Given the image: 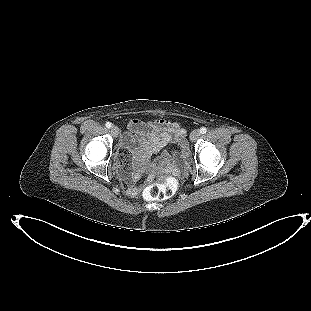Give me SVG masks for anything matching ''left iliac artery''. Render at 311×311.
I'll return each instance as SVG.
<instances>
[{"mask_svg": "<svg viewBox=\"0 0 311 311\" xmlns=\"http://www.w3.org/2000/svg\"><path fill=\"white\" fill-rule=\"evenodd\" d=\"M207 132V128L206 127H201L200 128V133L201 134H204V133H206Z\"/></svg>", "mask_w": 311, "mask_h": 311, "instance_id": "1", "label": "left iliac artery"}]
</instances>
